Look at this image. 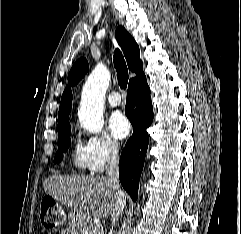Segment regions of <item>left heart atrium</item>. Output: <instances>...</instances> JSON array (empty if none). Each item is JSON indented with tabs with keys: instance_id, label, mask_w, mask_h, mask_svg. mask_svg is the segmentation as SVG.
Instances as JSON below:
<instances>
[{
	"instance_id": "1",
	"label": "left heart atrium",
	"mask_w": 241,
	"mask_h": 234,
	"mask_svg": "<svg viewBox=\"0 0 241 234\" xmlns=\"http://www.w3.org/2000/svg\"><path fill=\"white\" fill-rule=\"evenodd\" d=\"M109 128L117 139H124L131 131V124L127 117L119 111L109 117Z\"/></svg>"
}]
</instances>
